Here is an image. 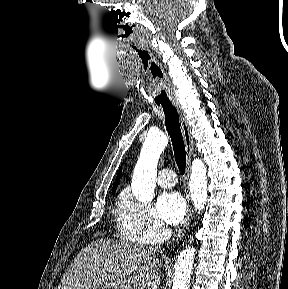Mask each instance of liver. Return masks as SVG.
Returning a JSON list of instances; mask_svg holds the SVG:
<instances>
[{"label":"liver","instance_id":"liver-1","mask_svg":"<svg viewBox=\"0 0 288 289\" xmlns=\"http://www.w3.org/2000/svg\"><path fill=\"white\" fill-rule=\"evenodd\" d=\"M156 250L110 239H98L74 258L58 289H157Z\"/></svg>","mask_w":288,"mask_h":289}]
</instances>
